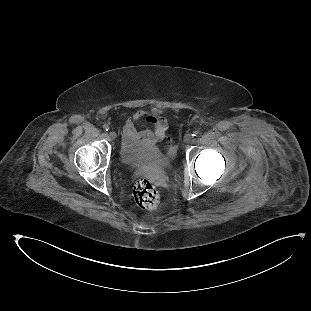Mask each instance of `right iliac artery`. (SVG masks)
I'll return each instance as SVG.
<instances>
[{"label": "right iliac artery", "instance_id": "obj_1", "mask_svg": "<svg viewBox=\"0 0 311 311\" xmlns=\"http://www.w3.org/2000/svg\"><path fill=\"white\" fill-rule=\"evenodd\" d=\"M103 129L108 131L110 128H109V126L107 124H105V125H103Z\"/></svg>", "mask_w": 311, "mask_h": 311}]
</instances>
